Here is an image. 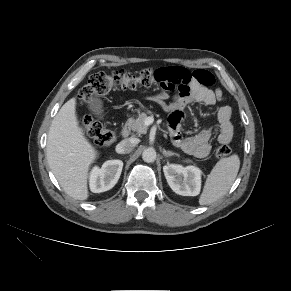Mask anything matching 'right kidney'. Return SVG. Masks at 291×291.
Returning a JSON list of instances; mask_svg holds the SVG:
<instances>
[{
    "label": "right kidney",
    "mask_w": 291,
    "mask_h": 291,
    "mask_svg": "<svg viewBox=\"0 0 291 291\" xmlns=\"http://www.w3.org/2000/svg\"><path fill=\"white\" fill-rule=\"evenodd\" d=\"M123 168L121 160L106 161L101 168L95 166L90 173V189L94 193L110 190L118 182Z\"/></svg>",
    "instance_id": "ca27d5eb"
}]
</instances>
